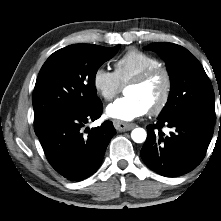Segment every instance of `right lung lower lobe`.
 <instances>
[{
  "label": "right lung lower lobe",
  "mask_w": 221,
  "mask_h": 221,
  "mask_svg": "<svg viewBox=\"0 0 221 221\" xmlns=\"http://www.w3.org/2000/svg\"><path fill=\"white\" fill-rule=\"evenodd\" d=\"M102 110L100 101L84 111L63 113L36 132L50 165L70 181L83 180L97 171L116 134L110 121L83 131V126L98 119Z\"/></svg>",
  "instance_id": "right-lung-lower-lobe-1"
}]
</instances>
